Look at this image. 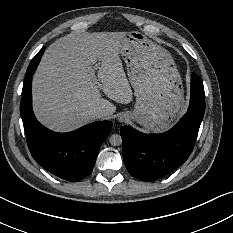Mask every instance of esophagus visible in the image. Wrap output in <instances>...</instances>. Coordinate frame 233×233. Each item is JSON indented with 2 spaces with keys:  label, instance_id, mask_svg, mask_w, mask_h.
I'll use <instances>...</instances> for the list:
<instances>
[{
  "label": "esophagus",
  "instance_id": "esophagus-1",
  "mask_svg": "<svg viewBox=\"0 0 233 233\" xmlns=\"http://www.w3.org/2000/svg\"><path fill=\"white\" fill-rule=\"evenodd\" d=\"M118 119H119L120 122H123V121H125L126 117H125V115H120L118 117Z\"/></svg>",
  "mask_w": 233,
  "mask_h": 233
}]
</instances>
